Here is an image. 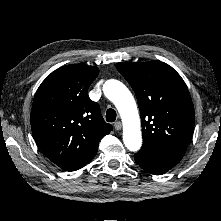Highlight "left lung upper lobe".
I'll return each instance as SVG.
<instances>
[{
	"label": "left lung upper lobe",
	"mask_w": 221,
	"mask_h": 221,
	"mask_svg": "<svg viewBox=\"0 0 221 221\" xmlns=\"http://www.w3.org/2000/svg\"><path fill=\"white\" fill-rule=\"evenodd\" d=\"M117 70L133 88L141 114L143 145L183 158L194 130V107L186 84L168 64L123 62Z\"/></svg>",
	"instance_id": "1"
}]
</instances>
